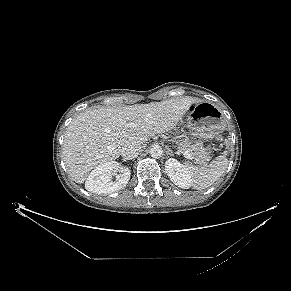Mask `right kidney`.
I'll return each instance as SVG.
<instances>
[{
	"label": "right kidney",
	"instance_id": "ca27d5eb",
	"mask_svg": "<svg viewBox=\"0 0 291 291\" xmlns=\"http://www.w3.org/2000/svg\"><path fill=\"white\" fill-rule=\"evenodd\" d=\"M120 164L116 161L106 162L97 166L89 174L85 188L96 194H109L118 191L125 187L130 179V169H122ZM118 171L121 173L116 175V180L112 181V175H115Z\"/></svg>",
	"mask_w": 291,
	"mask_h": 291
}]
</instances>
